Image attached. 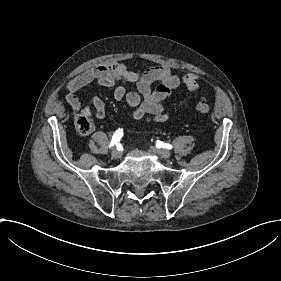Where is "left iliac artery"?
I'll use <instances>...</instances> for the list:
<instances>
[{
    "label": "left iliac artery",
    "instance_id": "44dca946",
    "mask_svg": "<svg viewBox=\"0 0 281 281\" xmlns=\"http://www.w3.org/2000/svg\"><path fill=\"white\" fill-rule=\"evenodd\" d=\"M156 147L157 148L162 147V148L169 149V150L172 149V145L167 144V143H163V142H161L159 140L156 141Z\"/></svg>",
    "mask_w": 281,
    "mask_h": 281
}]
</instances>
